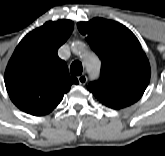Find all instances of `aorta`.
Wrapping results in <instances>:
<instances>
[{"label":"aorta","mask_w":165,"mask_h":156,"mask_svg":"<svg viewBox=\"0 0 165 156\" xmlns=\"http://www.w3.org/2000/svg\"><path fill=\"white\" fill-rule=\"evenodd\" d=\"M73 53L79 55L92 76H97L100 70V61L95 54L86 50V47L81 42H74L71 46Z\"/></svg>","instance_id":"1"}]
</instances>
